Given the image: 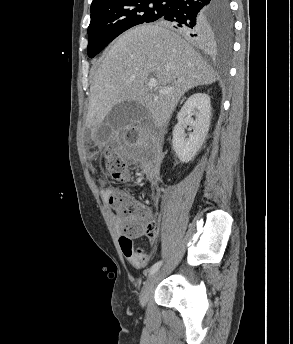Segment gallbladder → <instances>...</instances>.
Masks as SVG:
<instances>
[{
    "label": "gallbladder",
    "mask_w": 293,
    "mask_h": 344,
    "mask_svg": "<svg viewBox=\"0 0 293 344\" xmlns=\"http://www.w3.org/2000/svg\"><path fill=\"white\" fill-rule=\"evenodd\" d=\"M146 108L137 102H122L114 106L104 121L98 126L94 138L98 143H106L111 134L131 125L146 114Z\"/></svg>",
    "instance_id": "1"
}]
</instances>
